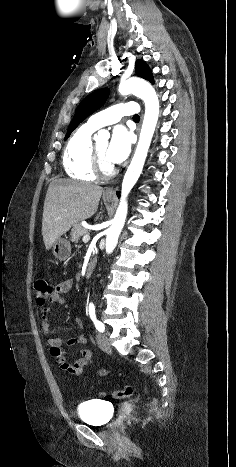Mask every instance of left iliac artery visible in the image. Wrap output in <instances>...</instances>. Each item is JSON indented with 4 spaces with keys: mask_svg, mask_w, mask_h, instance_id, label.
I'll list each match as a JSON object with an SVG mask.
<instances>
[{
    "mask_svg": "<svg viewBox=\"0 0 236 467\" xmlns=\"http://www.w3.org/2000/svg\"><path fill=\"white\" fill-rule=\"evenodd\" d=\"M88 311H89L90 318H91V320L93 321V323H94L96 329H97L99 332H104L105 326H104V324H103L101 321H99V320L96 318L95 306H94L93 303H90V304H89V309H88Z\"/></svg>",
    "mask_w": 236,
    "mask_h": 467,
    "instance_id": "1",
    "label": "left iliac artery"
}]
</instances>
